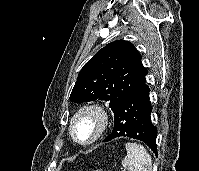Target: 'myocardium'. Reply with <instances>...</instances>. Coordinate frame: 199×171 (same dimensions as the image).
Returning <instances> with one entry per match:
<instances>
[{
  "label": "myocardium",
  "mask_w": 199,
  "mask_h": 171,
  "mask_svg": "<svg viewBox=\"0 0 199 171\" xmlns=\"http://www.w3.org/2000/svg\"><path fill=\"white\" fill-rule=\"evenodd\" d=\"M83 115H92L97 122V129L93 137L88 141H81L75 134V123ZM109 125V113L103 105L99 103H87L78 107L69 120V134L78 144L88 146L98 141L105 133Z\"/></svg>",
  "instance_id": "1"
}]
</instances>
